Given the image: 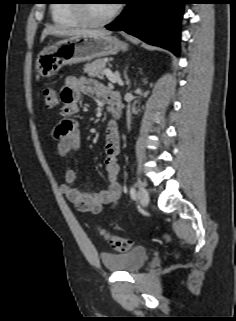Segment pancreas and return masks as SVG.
<instances>
[{
	"label": "pancreas",
	"instance_id": "pancreas-1",
	"mask_svg": "<svg viewBox=\"0 0 236 321\" xmlns=\"http://www.w3.org/2000/svg\"><path fill=\"white\" fill-rule=\"evenodd\" d=\"M107 59H98L92 63L86 64L84 66V72L87 73L90 77L103 78L104 71L107 69L106 64Z\"/></svg>",
	"mask_w": 236,
	"mask_h": 321
}]
</instances>
